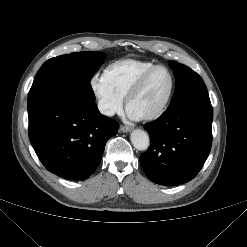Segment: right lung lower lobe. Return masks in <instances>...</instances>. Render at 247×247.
<instances>
[{
	"mask_svg": "<svg viewBox=\"0 0 247 247\" xmlns=\"http://www.w3.org/2000/svg\"><path fill=\"white\" fill-rule=\"evenodd\" d=\"M30 142L47 170L84 180L99 165L105 144L117 134L116 121L92 101L53 94L28 104Z\"/></svg>",
	"mask_w": 247,
	"mask_h": 247,
	"instance_id": "1",
	"label": "right lung lower lobe"
}]
</instances>
